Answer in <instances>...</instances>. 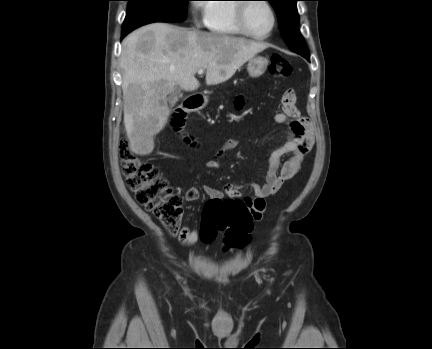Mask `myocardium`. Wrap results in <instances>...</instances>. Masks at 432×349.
Returning <instances> with one entry per match:
<instances>
[{"mask_svg": "<svg viewBox=\"0 0 432 349\" xmlns=\"http://www.w3.org/2000/svg\"><path fill=\"white\" fill-rule=\"evenodd\" d=\"M244 1H247V2H242L241 4H237L236 10H235V21H236V25L239 28V30L244 35H246L252 39L265 40V39L269 38L273 34L274 30L277 27V13H276L274 6L268 0H259L260 2H257V3L265 4L268 7V9L270 10L271 15H272V26H271L270 30L264 35H257V34H254L253 32L250 31V29L248 28V25H247V21H246L247 10H248L249 6L255 2H252L251 0H244Z\"/></svg>", "mask_w": 432, "mask_h": 349, "instance_id": "f54148a6", "label": "myocardium"}]
</instances>
